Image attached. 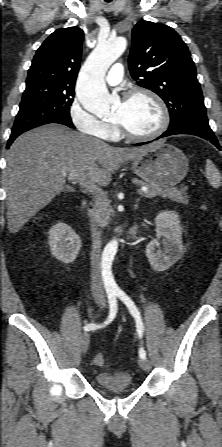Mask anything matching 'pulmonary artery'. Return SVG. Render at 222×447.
<instances>
[{
	"label": "pulmonary artery",
	"instance_id": "1",
	"mask_svg": "<svg viewBox=\"0 0 222 447\" xmlns=\"http://www.w3.org/2000/svg\"><path fill=\"white\" fill-rule=\"evenodd\" d=\"M122 76L123 66L121 64H115L107 75L106 82L111 86L118 85L122 81Z\"/></svg>",
	"mask_w": 222,
	"mask_h": 447
}]
</instances>
